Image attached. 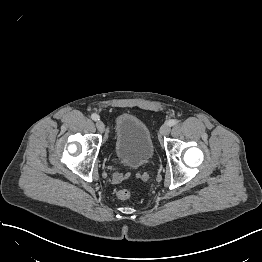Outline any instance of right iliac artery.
I'll use <instances>...</instances> for the list:
<instances>
[{"instance_id": "obj_1", "label": "right iliac artery", "mask_w": 262, "mask_h": 262, "mask_svg": "<svg viewBox=\"0 0 262 262\" xmlns=\"http://www.w3.org/2000/svg\"><path fill=\"white\" fill-rule=\"evenodd\" d=\"M91 118L94 120V121H97V120H99V115H97V114H92L91 115Z\"/></svg>"}]
</instances>
